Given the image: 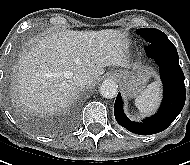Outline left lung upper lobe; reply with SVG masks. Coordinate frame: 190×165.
<instances>
[{
    "instance_id": "left-lung-upper-lobe-1",
    "label": "left lung upper lobe",
    "mask_w": 190,
    "mask_h": 165,
    "mask_svg": "<svg viewBox=\"0 0 190 165\" xmlns=\"http://www.w3.org/2000/svg\"><path fill=\"white\" fill-rule=\"evenodd\" d=\"M136 32L143 37L148 44L154 43L160 39L167 38L166 34L155 28L137 29Z\"/></svg>"
}]
</instances>
